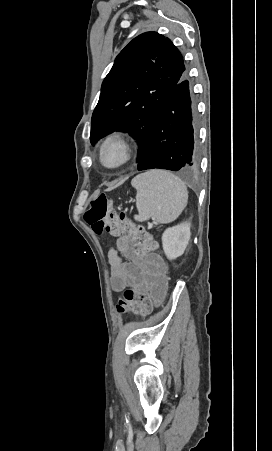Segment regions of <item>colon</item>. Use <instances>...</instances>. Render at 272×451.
Segmentation results:
<instances>
[{
  "instance_id": "colon-1",
  "label": "colon",
  "mask_w": 272,
  "mask_h": 451,
  "mask_svg": "<svg viewBox=\"0 0 272 451\" xmlns=\"http://www.w3.org/2000/svg\"><path fill=\"white\" fill-rule=\"evenodd\" d=\"M84 220L96 234L109 233L113 239H121L120 249L134 248L135 258H144L150 239L149 232L141 226H136L129 219L127 212H118L113 207L112 200L104 193L96 194L91 200L90 208L84 213ZM143 248V249H138ZM150 248L155 249L152 245ZM150 296L147 292L125 290L119 299L114 301L118 311H134L147 313Z\"/></svg>"
}]
</instances>
